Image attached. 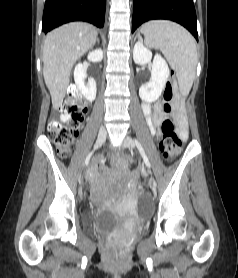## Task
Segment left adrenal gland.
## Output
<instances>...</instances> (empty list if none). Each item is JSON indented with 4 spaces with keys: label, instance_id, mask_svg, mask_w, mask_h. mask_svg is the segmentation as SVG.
Masks as SVG:
<instances>
[{
    "label": "left adrenal gland",
    "instance_id": "a2214340",
    "mask_svg": "<svg viewBox=\"0 0 238 278\" xmlns=\"http://www.w3.org/2000/svg\"><path fill=\"white\" fill-rule=\"evenodd\" d=\"M136 38H139V39L141 40V35H140V33H137L135 39H136Z\"/></svg>",
    "mask_w": 238,
    "mask_h": 278
}]
</instances>
